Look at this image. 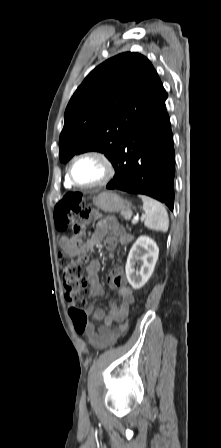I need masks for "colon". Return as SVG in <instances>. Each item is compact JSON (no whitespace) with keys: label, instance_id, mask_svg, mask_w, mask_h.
I'll return each mask as SVG.
<instances>
[{"label":"colon","instance_id":"5ec220e1","mask_svg":"<svg viewBox=\"0 0 221 448\" xmlns=\"http://www.w3.org/2000/svg\"><path fill=\"white\" fill-rule=\"evenodd\" d=\"M83 197L79 193H66L55 205V228L66 231L72 227L76 235H80L90 218V211L82 207ZM65 295L71 302L70 315L75 330L79 334L86 331L88 316L85 311L88 297V278L83 263L67 255L60 257ZM125 328L127 326L125 325Z\"/></svg>","mask_w":221,"mask_h":448}]
</instances>
